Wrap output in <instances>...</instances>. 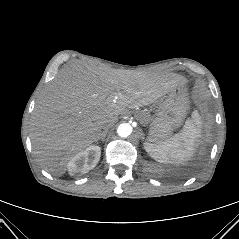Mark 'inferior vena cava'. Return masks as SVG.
Masks as SVG:
<instances>
[{
	"mask_svg": "<svg viewBox=\"0 0 239 239\" xmlns=\"http://www.w3.org/2000/svg\"><path fill=\"white\" fill-rule=\"evenodd\" d=\"M114 123H115L114 120L104 121V122L102 123V129L105 130V131H107L108 129H110V128L113 126Z\"/></svg>",
	"mask_w": 239,
	"mask_h": 239,
	"instance_id": "inferior-vena-cava-1",
	"label": "inferior vena cava"
}]
</instances>
